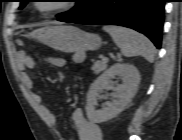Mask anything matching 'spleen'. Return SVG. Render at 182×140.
<instances>
[{"instance_id": "spleen-1", "label": "spleen", "mask_w": 182, "mask_h": 140, "mask_svg": "<svg viewBox=\"0 0 182 140\" xmlns=\"http://www.w3.org/2000/svg\"><path fill=\"white\" fill-rule=\"evenodd\" d=\"M115 44L126 57L143 56L147 61H154L155 48L144 35L121 26H104Z\"/></svg>"}]
</instances>
